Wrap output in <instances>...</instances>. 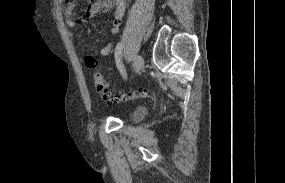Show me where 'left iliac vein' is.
Here are the masks:
<instances>
[{
	"instance_id": "1",
	"label": "left iliac vein",
	"mask_w": 285,
	"mask_h": 183,
	"mask_svg": "<svg viewBox=\"0 0 285 183\" xmlns=\"http://www.w3.org/2000/svg\"><path fill=\"white\" fill-rule=\"evenodd\" d=\"M134 70L139 73L144 67V59L141 55H137L134 60Z\"/></svg>"
}]
</instances>
